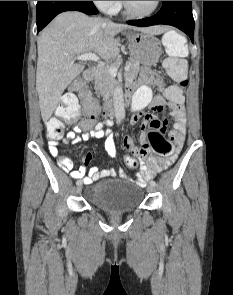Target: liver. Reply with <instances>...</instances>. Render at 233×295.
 <instances>
[{
    "label": "liver",
    "instance_id": "liver-1",
    "mask_svg": "<svg viewBox=\"0 0 233 295\" xmlns=\"http://www.w3.org/2000/svg\"><path fill=\"white\" fill-rule=\"evenodd\" d=\"M124 29L161 34L160 26L140 28L117 24L100 17H89L82 12L60 13L38 37L36 91L44 122L50 119L67 86L81 74L84 65L74 57L96 52L104 60H113L119 48L115 36Z\"/></svg>",
    "mask_w": 233,
    "mask_h": 295
}]
</instances>
